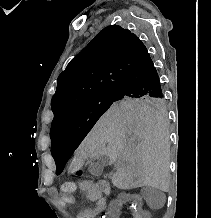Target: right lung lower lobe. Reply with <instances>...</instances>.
I'll list each match as a JSON object with an SVG mask.
<instances>
[{
	"label": "right lung lower lobe",
	"mask_w": 211,
	"mask_h": 218,
	"mask_svg": "<svg viewBox=\"0 0 211 218\" xmlns=\"http://www.w3.org/2000/svg\"><path fill=\"white\" fill-rule=\"evenodd\" d=\"M116 94L124 97L164 98L159 76L150 56L121 82Z\"/></svg>",
	"instance_id": "1"
}]
</instances>
